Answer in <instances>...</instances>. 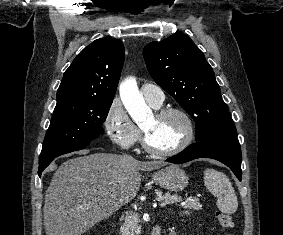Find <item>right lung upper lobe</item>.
I'll return each mask as SVG.
<instances>
[{"instance_id": "cb5924a9", "label": "right lung upper lobe", "mask_w": 283, "mask_h": 235, "mask_svg": "<svg viewBox=\"0 0 283 235\" xmlns=\"http://www.w3.org/2000/svg\"><path fill=\"white\" fill-rule=\"evenodd\" d=\"M124 55L120 40H95L75 57L65 71L57 91V102L77 97L113 99Z\"/></svg>"}]
</instances>
